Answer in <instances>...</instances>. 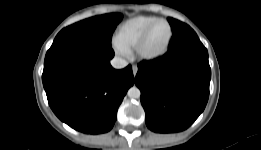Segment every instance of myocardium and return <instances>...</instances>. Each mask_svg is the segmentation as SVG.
<instances>
[{"label":"myocardium","instance_id":"myocardium-1","mask_svg":"<svg viewBox=\"0 0 261 150\" xmlns=\"http://www.w3.org/2000/svg\"><path fill=\"white\" fill-rule=\"evenodd\" d=\"M160 22L167 24V26L169 27L168 40L166 42L165 47L161 51H159L157 53H148L145 49L147 39L149 37L151 30L154 28V26ZM173 36H174L173 27L168 20L163 19V18H159V19L155 20L144 30V32L140 36V38L135 46V53H136L137 57L140 60L147 61V62H153V61H157V60L163 58L170 49V46H171V43L173 40Z\"/></svg>","mask_w":261,"mask_h":150}]
</instances>
